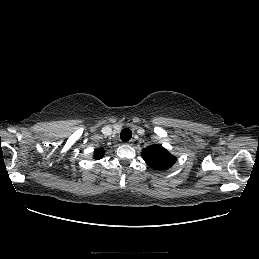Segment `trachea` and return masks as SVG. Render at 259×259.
Listing matches in <instances>:
<instances>
[{
  "mask_svg": "<svg viewBox=\"0 0 259 259\" xmlns=\"http://www.w3.org/2000/svg\"><path fill=\"white\" fill-rule=\"evenodd\" d=\"M132 137V131L128 128H124L120 133V138L123 142H127Z\"/></svg>",
  "mask_w": 259,
  "mask_h": 259,
  "instance_id": "obj_1",
  "label": "trachea"
}]
</instances>
